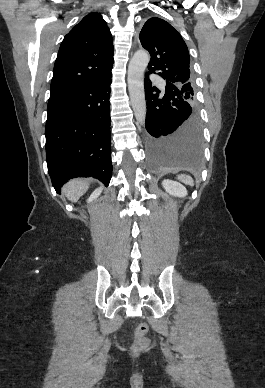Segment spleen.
<instances>
[{
  "mask_svg": "<svg viewBox=\"0 0 265 388\" xmlns=\"http://www.w3.org/2000/svg\"><path fill=\"white\" fill-rule=\"evenodd\" d=\"M179 182H183V184H188V186H193V180L190 178V176H184V174H181V176H178Z\"/></svg>",
  "mask_w": 265,
  "mask_h": 388,
  "instance_id": "3e777b00",
  "label": "spleen"
}]
</instances>
